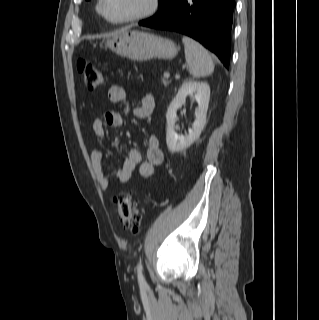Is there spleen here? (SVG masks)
<instances>
[{"label":"spleen","instance_id":"1","mask_svg":"<svg viewBox=\"0 0 319 320\" xmlns=\"http://www.w3.org/2000/svg\"><path fill=\"white\" fill-rule=\"evenodd\" d=\"M185 59L193 77H205L214 71V64L208 51L195 40L184 36Z\"/></svg>","mask_w":319,"mask_h":320}]
</instances>
